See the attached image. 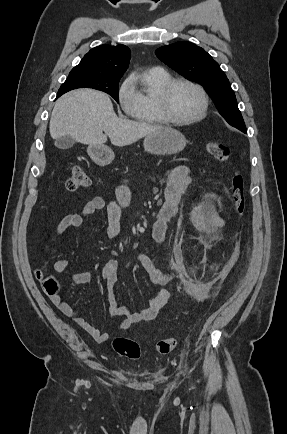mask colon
Segmentation results:
<instances>
[{
  "mask_svg": "<svg viewBox=\"0 0 287 434\" xmlns=\"http://www.w3.org/2000/svg\"><path fill=\"white\" fill-rule=\"evenodd\" d=\"M208 153L216 160L225 163H231V150L224 144L217 141L206 143ZM91 184V178L88 173L81 167H75L71 176L65 184L69 192H75L87 188ZM233 211L236 215H242L245 209V183L244 177L239 171H235L231 179L230 190ZM36 276L41 282L44 292L50 296H57L59 292V283L51 275L46 274L43 270H37ZM177 345V339L169 337L156 343V351L159 354L170 353ZM113 348L120 356L137 360L141 357L142 351L140 345L129 338L117 337L113 341Z\"/></svg>",
  "mask_w": 287,
  "mask_h": 434,
  "instance_id": "1",
  "label": "colon"
}]
</instances>
